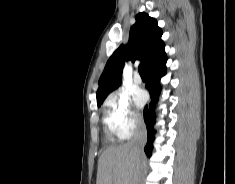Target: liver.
Listing matches in <instances>:
<instances>
[{"mask_svg": "<svg viewBox=\"0 0 235 184\" xmlns=\"http://www.w3.org/2000/svg\"><path fill=\"white\" fill-rule=\"evenodd\" d=\"M142 158L134 154L129 142L107 148L99 158L97 184H134Z\"/></svg>", "mask_w": 235, "mask_h": 184, "instance_id": "obj_1", "label": "liver"}]
</instances>
